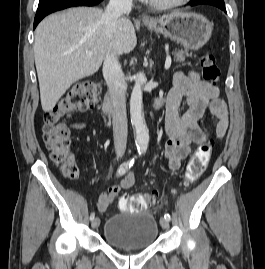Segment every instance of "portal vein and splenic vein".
<instances>
[{
	"instance_id": "obj_1",
	"label": "portal vein and splenic vein",
	"mask_w": 265,
	"mask_h": 269,
	"mask_svg": "<svg viewBox=\"0 0 265 269\" xmlns=\"http://www.w3.org/2000/svg\"><path fill=\"white\" fill-rule=\"evenodd\" d=\"M86 54L89 56H92L93 52L87 51ZM170 66H171V57H170V55H168L166 58V61H165V69H169Z\"/></svg>"
}]
</instances>
